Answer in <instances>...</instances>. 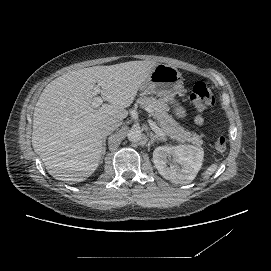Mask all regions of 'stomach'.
I'll use <instances>...</instances> for the list:
<instances>
[{
    "instance_id": "1",
    "label": "stomach",
    "mask_w": 271,
    "mask_h": 271,
    "mask_svg": "<svg viewBox=\"0 0 271 271\" xmlns=\"http://www.w3.org/2000/svg\"><path fill=\"white\" fill-rule=\"evenodd\" d=\"M146 89L163 97L166 101H173L174 97L183 89L182 75L176 67L159 63L150 73ZM174 112L179 118L186 116L185 109L179 104H176Z\"/></svg>"
}]
</instances>
